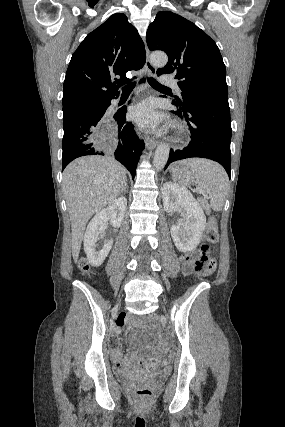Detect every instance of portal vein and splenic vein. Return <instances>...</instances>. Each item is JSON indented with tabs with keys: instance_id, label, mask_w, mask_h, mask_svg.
<instances>
[{
	"instance_id": "obj_1",
	"label": "portal vein and splenic vein",
	"mask_w": 285,
	"mask_h": 427,
	"mask_svg": "<svg viewBox=\"0 0 285 427\" xmlns=\"http://www.w3.org/2000/svg\"><path fill=\"white\" fill-rule=\"evenodd\" d=\"M197 192H199V193H202V194H203V192H202V191H197Z\"/></svg>"
}]
</instances>
